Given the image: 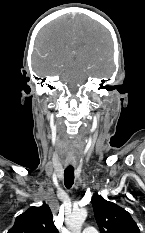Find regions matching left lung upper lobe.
Wrapping results in <instances>:
<instances>
[{
  "mask_svg": "<svg viewBox=\"0 0 145 233\" xmlns=\"http://www.w3.org/2000/svg\"><path fill=\"white\" fill-rule=\"evenodd\" d=\"M92 205L101 233H140L131 215L115 203L95 194L92 197Z\"/></svg>",
  "mask_w": 145,
  "mask_h": 233,
  "instance_id": "obj_1",
  "label": "left lung upper lobe"
}]
</instances>
